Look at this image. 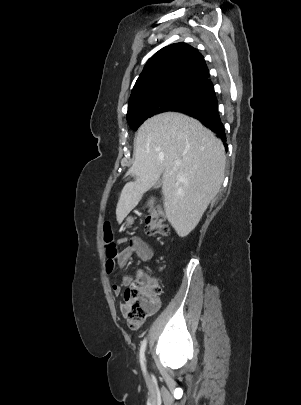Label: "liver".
I'll use <instances>...</instances> for the list:
<instances>
[{"label":"liver","instance_id":"obj_1","mask_svg":"<svg viewBox=\"0 0 301 405\" xmlns=\"http://www.w3.org/2000/svg\"><path fill=\"white\" fill-rule=\"evenodd\" d=\"M224 146L198 120L176 112L146 120L135 142V161L127 172L134 182L123 187L116 217L122 223L162 175L166 217L180 237L199 223L224 180Z\"/></svg>","mask_w":301,"mask_h":405}]
</instances>
